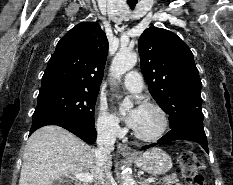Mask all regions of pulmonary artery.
<instances>
[{
    "label": "pulmonary artery",
    "mask_w": 233,
    "mask_h": 185,
    "mask_svg": "<svg viewBox=\"0 0 233 185\" xmlns=\"http://www.w3.org/2000/svg\"><path fill=\"white\" fill-rule=\"evenodd\" d=\"M125 88L131 92H140L144 87V81L140 73L136 70L129 71L123 78Z\"/></svg>",
    "instance_id": "1"
}]
</instances>
